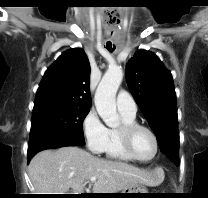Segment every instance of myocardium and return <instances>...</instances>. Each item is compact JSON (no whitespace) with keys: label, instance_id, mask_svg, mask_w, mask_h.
I'll list each match as a JSON object with an SVG mask.
<instances>
[{"label":"myocardium","instance_id":"myocardium-1","mask_svg":"<svg viewBox=\"0 0 208 198\" xmlns=\"http://www.w3.org/2000/svg\"><path fill=\"white\" fill-rule=\"evenodd\" d=\"M143 129L146 130L153 138L154 143H155V151L152 157L148 159H142L140 158L135 151L133 150L132 147V137L134 133L139 130ZM118 133L120 136L121 143L123 145V148L125 151L128 153L130 157H132L135 161L142 162V163H147L151 162L154 160L159 152V140L156 135V133L151 129L149 126H146L144 124H140L138 122H133V123H123L119 128H118Z\"/></svg>","mask_w":208,"mask_h":198}]
</instances>
